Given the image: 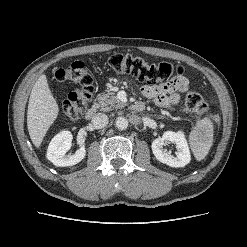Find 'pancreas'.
I'll list each match as a JSON object with an SVG mask.
<instances>
[{"mask_svg":"<svg viewBox=\"0 0 247 247\" xmlns=\"http://www.w3.org/2000/svg\"><path fill=\"white\" fill-rule=\"evenodd\" d=\"M98 106L102 111H110L113 109H121L125 103L121 102L113 93H104L98 97Z\"/></svg>","mask_w":247,"mask_h":247,"instance_id":"cf45deb5","label":"pancreas"}]
</instances>
